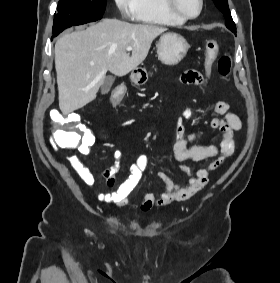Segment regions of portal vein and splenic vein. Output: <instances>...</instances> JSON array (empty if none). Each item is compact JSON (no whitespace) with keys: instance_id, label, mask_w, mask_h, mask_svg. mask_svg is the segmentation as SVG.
Masks as SVG:
<instances>
[{"instance_id":"1","label":"portal vein and splenic vein","mask_w":280,"mask_h":283,"mask_svg":"<svg viewBox=\"0 0 280 283\" xmlns=\"http://www.w3.org/2000/svg\"><path fill=\"white\" fill-rule=\"evenodd\" d=\"M132 49H133L132 46H127V47H126V50H127V51H131Z\"/></svg>"}]
</instances>
